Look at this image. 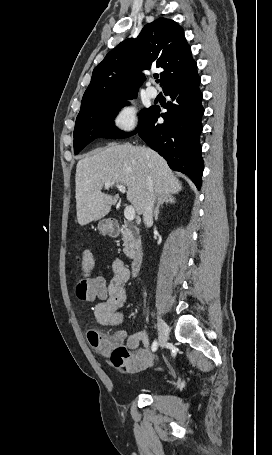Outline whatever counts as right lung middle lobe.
<instances>
[{"mask_svg": "<svg viewBox=\"0 0 272 455\" xmlns=\"http://www.w3.org/2000/svg\"><path fill=\"white\" fill-rule=\"evenodd\" d=\"M137 94L122 99L136 98ZM123 101H110L91 110L78 114L74 129V152L78 154L86 145L98 137L120 139L128 137L118 130L113 122L119 109L124 106ZM154 107L143 109L140 112L139 129L149 118ZM137 129L135 133L139 130Z\"/></svg>", "mask_w": 272, "mask_h": 455, "instance_id": "dd1d6c3e", "label": "right lung middle lobe"}]
</instances>
